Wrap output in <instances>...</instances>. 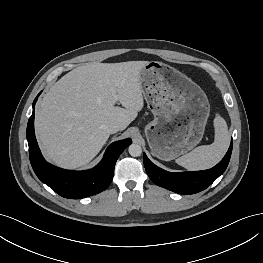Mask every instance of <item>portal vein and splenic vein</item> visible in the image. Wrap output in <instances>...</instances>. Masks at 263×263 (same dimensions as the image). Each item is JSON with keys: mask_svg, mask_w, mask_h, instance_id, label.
Masks as SVG:
<instances>
[{"mask_svg": "<svg viewBox=\"0 0 263 263\" xmlns=\"http://www.w3.org/2000/svg\"><path fill=\"white\" fill-rule=\"evenodd\" d=\"M114 99L117 100V95L114 96Z\"/></svg>", "mask_w": 263, "mask_h": 263, "instance_id": "18ae733b", "label": "portal vein and splenic vein"}]
</instances>
